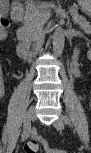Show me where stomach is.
I'll list each match as a JSON object with an SVG mask.
<instances>
[{
  "instance_id": "1",
  "label": "stomach",
  "mask_w": 91,
  "mask_h": 153,
  "mask_svg": "<svg viewBox=\"0 0 91 153\" xmlns=\"http://www.w3.org/2000/svg\"><path fill=\"white\" fill-rule=\"evenodd\" d=\"M91 1L89 0H79V4L82 5L83 9L86 11V12H90V8H91Z\"/></svg>"
}]
</instances>
